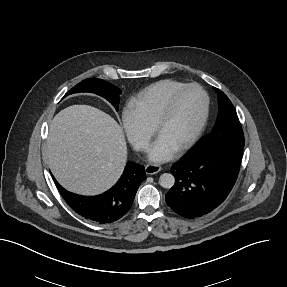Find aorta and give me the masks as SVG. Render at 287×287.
<instances>
[{
    "label": "aorta",
    "instance_id": "762f6f07",
    "mask_svg": "<svg viewBox=\"0 0 287 287\" xmlns=\"http://www.w3.org/2000/svg\"><path fill=\"white\" fill-rule=\"evenodd\" d=\"M159 183L163 188L169 189L174 186L175 178L171 173H163L159 178Z\"/></svg>",
    "mask_w": 287,
    "mask_h": 287
}]
</instances>
